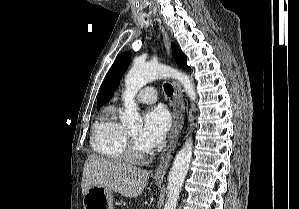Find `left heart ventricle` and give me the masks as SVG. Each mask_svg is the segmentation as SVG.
<instances>
[{
  "label": "left heart ventricle",
  "mask_w": 299,
  "mask_h": 209,
  "mask_svg": "<svg viewBox=\"0 0 299 209\" xmlns=\"http://www.w3.org/2000/svg\"><path fill=\"white\" fill-rule=\"evenodd\" d=\"M139 132H140V129L137 128V129L128 131V134L133 138L135 144L137 145V147H138L140 150H142V151H146L147 149H145V148L139 143V141H138Z\"/></svg>",
  "instance_id": "1"
}]
</instances>
